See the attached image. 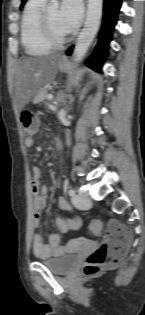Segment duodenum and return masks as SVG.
Segmentation results:
<instances>
[{
    "instance_id": "duodenum-1",
    "label": "duodenum",
    "mask_w": 145,
    "mask_h": 315,
    "mask_svg": "<svg viewBox=\"0 0 145 315\" xmlns=\"http://www.w3.org/2000/svg\"><path fill=\"white\" fill-rule=\"evenodd\" d=\"M58 147L61 148V143L60 142L58 143Z\"/></svg>"
}]
</instances>
